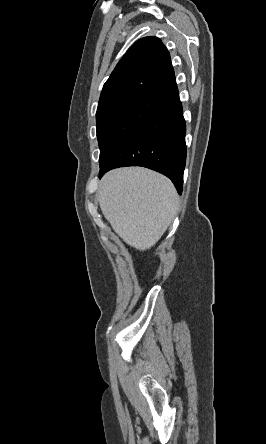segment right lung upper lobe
I'll return each instance as SVG.
<instances>
[{"instance_id":"1","label":"right lung upper lobe","mask_w":266,"mask_h":444,"mask_svg":"<svg viewBox=\"0 0 266 444\" xmlns=\"http://www.w3.org/2000/svg\"><path fill=\"white\" fill-rule=\"evenodd\" d=\"M133 93L165 104L179 97L170 54L157 37L141 38L129 48L104 84L99 105Z\"/></svg>"}]
</instances>
